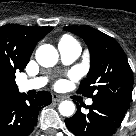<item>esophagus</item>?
<instances>
[{
	"label": "esophagus",
	"mask_w": 136,
	"mask_h": 136,
	"mask_svg": "<svg viewBox=\"0 0 136 136\" xmlns=\"http://www.w3.org/2000/svg\"><path fill=\"white\" fill-rule=\"evenodd\" d=\"M52 100H53L54 102H60V101L63 100V97H62V96H59V95H57V94H52Z\"/></svg>",
	"instance_id": "esophagus-1"
}]
</instances>
